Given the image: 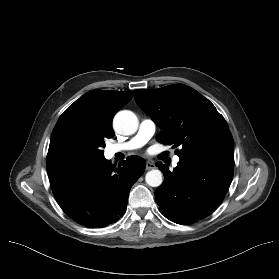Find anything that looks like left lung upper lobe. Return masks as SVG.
<instances>
[{
  "label": "left lung upper lobe",
  "mask_w": 279,
  "mask_h": 279,
  "mask_svg": "<svg viewBox=\"0 0 279 279\" xmlns=\"http://www.w3.org/2000/svg\"><path fill=\"white\" fill-rule=\"evenodd\" d=\"M137 104L161 128L158 142L180 146L178 156L213 155L234 158V142L224 117L195 89L174 84L155 90H134Z\"/></svg>",
  "instance_id": "left-lung-upper-lobe-1"
}]
</instances>
